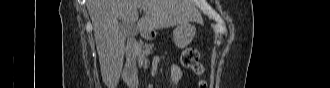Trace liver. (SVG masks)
I'll list each match as a JSON object with an SVG mask.
<instances>
[{
  "label": "liver",
  "instance_id": "liver-1",
  "mask_svg": "<svg viewBox=\"0 0 330 88\" xmlns=\"http://www.w3.org/2000/svg\"><path fill=\"white\" fill-rule=\"evenodd\" d=\"M138 8L145 13L139 20ZM87 9L93 24L102 78L108 88H116L123 68L126 35L118 20L134 24L141 34L202 21L190 0H89Z\"/></svg>",
  "mask_w": 330,
  "mask_h": 88
}]
</instances>
